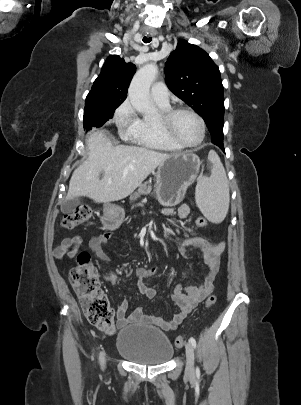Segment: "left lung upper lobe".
Listing matches in <instances>:
<instances>
[{
	"label": "left lung upper lobe",
	"instance_id": "left-lung-upper-lobe-1",
	"mask_svg": "<svg viewBox=\"0 0 301 405\" xmlns=\"http://www.w3.org/2000/svg\"><path fill=\"white\" fill-rule=\"evenodd\" d=\"M168 88L204 119L211 139L223 141L224 95L220 71L209 55L185 40L165 63Z\"/></svg>",
	"mask_w": 301,
	"mask_h": 405
}]
</instances>
